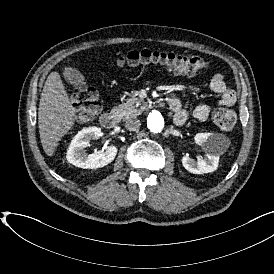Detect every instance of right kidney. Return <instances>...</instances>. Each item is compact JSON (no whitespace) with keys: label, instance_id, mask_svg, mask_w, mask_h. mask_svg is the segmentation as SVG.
<instances>
[{"label":"right kidney","instance_id":"1","mask_svg":"<svg viewBox=\"0 0 274 274\" xmlns=\"http://www.w3.org/2000/svg\"><path fill=\"white\" fill-rule=\"evenodd\" d=\"M102 132L99 127H87L79 131L72 139L67 151V161L73 166L84 169H98L112 163L118 153V146L105 147L104 151L85 153V148L90 145L91 140L97 139Z\"/></svg>","mask_w":274,"mask_h":274}]
</instances>
